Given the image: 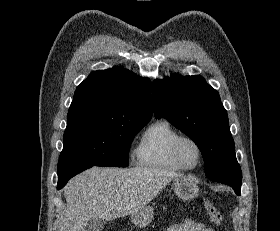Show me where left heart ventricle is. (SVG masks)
<instances>
[{
	"label": "left heart ventricle",
	"instance_id": "left-heart-ventricle-1",
	"mask_svg": "<svg viewBox=\"0 0 280 231\" xmlns=\"http://www.w3.org/2000/svg\"><path fill=\"white\" fill-rule=\"evenodd\" d=\"M179 158L182 164L189 169H194L200 160V154L197 146L190 140H184L178 150Z\"/></svg>",
	"mask_w": 280,
	"mask_h": 231
}]
</instances>
